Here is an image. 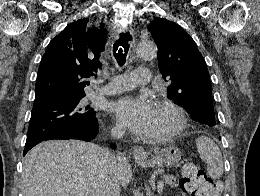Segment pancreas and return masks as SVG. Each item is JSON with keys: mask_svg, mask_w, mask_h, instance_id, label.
<instances>
[{"mask_svg": "<svg viewBox=\"0 0 260 196\" xmlns=\"http://www.w3.org/2000/svg\"><path fill=\"white\" fill-rule=\"evenodd\" d=\"M163 180L170 188H176V186H178L175 176H163Z\"/></svg>", "mask_w": 260, "mask_h": 196, "instance_id": "1", "label": "pancreas"}]
</instances>
